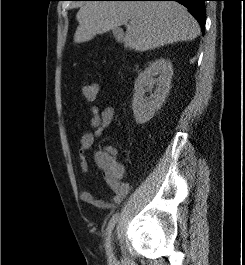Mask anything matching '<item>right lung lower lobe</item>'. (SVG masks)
Instances as JSON below:
<instances>
[{"label":"right lung lower lobe","mask_w":245,"mask_h":265,"mask_svg":"<svg viewBox=\"0 0 245 265\" xmlns=\"http://www.w3.org/2000/svg\"><path fill=\"white\" fill-rule=\"evenodd\" d=\"M122 1H176L184 5L194 16L201 26L202 32L205 29V1L206 0H122Z\"/></svg>","instance_id":"1"}]
</instances>
